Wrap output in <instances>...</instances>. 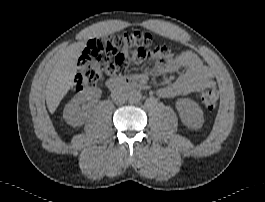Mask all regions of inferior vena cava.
<instances>
[{
  "label": "inferior vena cava",
  "mask_w": 265,
  "mask_h": 202,
  "mask_svg": "<svg viewBox=\"0 0 265 202\" xmlns=\"http://www.w3.org/2000/svg\"><path fill=\"white\" fill-rule=\"evenodd\" d=\"M128 91L125 88H117L112 91L111 97L116 104H123L128 99Z\"/></svg>",
  "instance_id": "602c4592"
}]
</instances>
